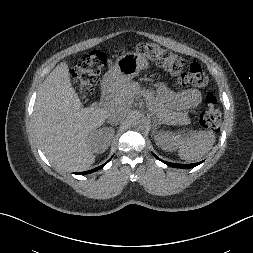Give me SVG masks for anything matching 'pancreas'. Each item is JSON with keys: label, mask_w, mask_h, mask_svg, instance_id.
Wrapping results in <instances>:
<instances>
[{"label": "pancreas", "mask_w": 253, "mask_h": 253, "mask_svg": "<svg viewBox=\"0 0 253 253\" xmlns=\"http://www.w3.org/2000/svg\"><path fill=\"white\" fill-rule=\"evenodd\" d=\"M140 92V88L136 82H126L118 86L111 94L112 101L116 104H129L137 93ZM143 95L147 99L148 106L154 111L160 121L167 124H179L187 125L191 122L187 113L172 112L162 102L158 100L155 95L146 90Z\"/></svg>", "instance_id": "pancreas-1"}]
</instances>
